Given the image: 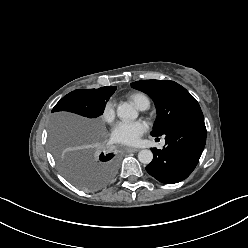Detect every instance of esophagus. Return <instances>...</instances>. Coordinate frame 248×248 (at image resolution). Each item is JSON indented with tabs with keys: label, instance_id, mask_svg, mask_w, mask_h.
Instances as JSON below:
<instances>
[{
	"label": "esophagus",
	"instance_id": "34e87169",
	"mask_svg": "<svg viewBox=\"0 0 248 248\" xmlns=\"http://www.w3.org/2000/svg\"><path fill=\"white\" fill-rule=\"evenodd\" d=\"M125 151H126V152H138L139 149H138V148L126 147V148H125Z\"/></svg>",
	"mask_w": 248,
	"mask_h": 248
}]
</instances>
